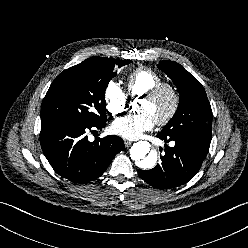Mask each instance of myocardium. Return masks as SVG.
I'll return each mask as SVG.
<instances>
[{"mask_svg": "<svg viewBox=\"0 0 248 248\" xmlns=\"http://www.w3.org/2000/svg\"><path fill=\"white\" fill-rule=\"evenodd\" d=\"M165 91L170 94L172 102L168 112L162 118L155 121L158 126L166 125L176 115L180 106V95L178 90L171 83L161 82L142 95L143 99L154 100Z\"/></svg>", "mask_w": 248, "mask_h": 248, "instance_id": "f54148a6", "label": "myocardium"}]
</instances>
